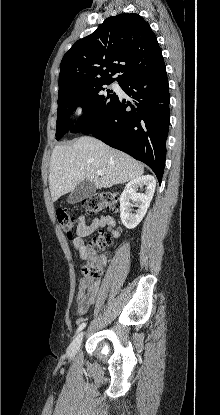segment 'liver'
Returning <instances> with one entry per match:
<instances>
[{
  "mask_svg": "<svg viewBox=\"0 0 220 415\" xmlns=\"http://www.w3.org/2000/svg\"><path fill=\"white\" fill-rule=\"evenodd\" d=\"M100 170L102 176L96 174ZM144 166L129 155L93 137H80L71 145H57L50 161L49 187L55 202L88 179L97 189L110 188L140 177Z\"/></svg>",
  "mask_w": 220,
  "mask_h": 415,
  "instance_id": "1",
  "label": "liver"
}]
</instances>
